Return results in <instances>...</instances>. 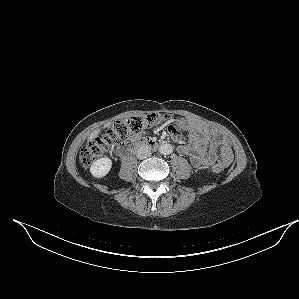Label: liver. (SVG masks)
I'll use <instances>...</instances> for the list:
<instances>
[{"instance_id":"1","label":"liver","mask_w":299,"mask_h":299,"mask_svg":"<svg viewBox=\"0 0 299 299\" xmlns=\"http://www.w3.org/2000/svg\"><path fill=\"white\" fill-rule=\"evenodd\" d=\"M112 126V122L107 123L106 125H104L103 128H110ZM101 129H97L95 131H93L89 137H88V141H93L96 137H98V135L100 134Z\"/></svg>"}]
</instances>
